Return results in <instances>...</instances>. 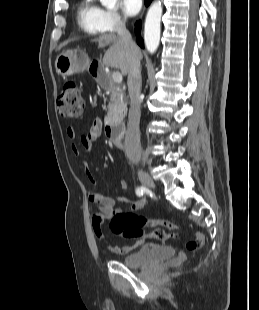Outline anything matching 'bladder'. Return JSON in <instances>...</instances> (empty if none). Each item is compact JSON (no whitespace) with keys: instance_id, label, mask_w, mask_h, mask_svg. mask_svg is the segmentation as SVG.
<instances>
[{"instance_id":"31cf9c89","label":"bladder","mask_w":259,"mask_h":310,"mask_svg":"<svg viewBox=\"0 0 259 310\" xmlns=\"http://www.w3.org/2000/svg\"><path fill=\"white\" fill-rule=\"evenodd\" d=\"M175 249L172 246L148 244L141 246L134 253L120 259L123 265L129 268L148 267L172 258Z\"/></svg>"}]
</instances>
